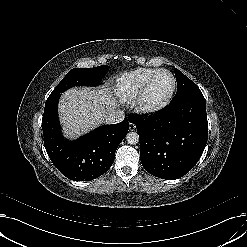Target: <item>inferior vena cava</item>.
<instances>
[{
    "label": "inferior vena cava",
    "mask_w": 247,
    "mask_h": 247,
    "mask_svg": "<svg viewBox=\"0 0 247 247\" xmlns=\"http://www.w3.org/2000/svg\"><path fill=\"white\" fill-rule=\"evenodd\" d=\"M124 118L125 114L122 110H112L106 115L105 120L107 124H117L123 121Z\"/></svg>",
    "instance_id": "obj_1"
}]
</instances>
